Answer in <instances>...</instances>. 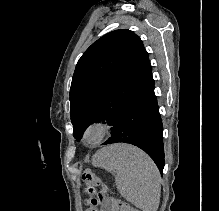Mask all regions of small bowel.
I'll use <instances>...</instances> for the list:
<instances>
[{"mask_svg":"<svg viewBox=\"0 0 219 211\" xmlns=\"http://www.w3.org/2000/svg\"><path fill=\"white\" fill-rule=\"evenodd\" d=\"M98 211H110V202L104 201L101 203V208Z\"/></svg>","mask_w":219,"mask_h":211,"instance_id":"1","label":"small bowel"}]
</instances>
